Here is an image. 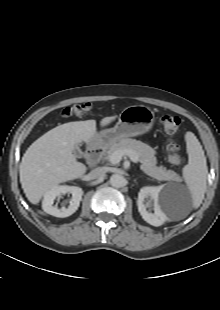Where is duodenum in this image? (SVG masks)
Segmentation results:
<instances>
[{
	"label": "duodenum",
	"mask_w": 220,
	"mask_h": 310,
	"mask_svg": "<svg viewBox=\"0 0 220 310\" xmlns=\"http://www.w3.org/2000/svg\"><path fill=\"white\" fill-rule=\"evenodd\" d=\"M104 152V147L102 145H96L92 147L87 154V161L90 166L96 165Z\"/></svg>",
	"instance_id": "1"
}]
</instances>
